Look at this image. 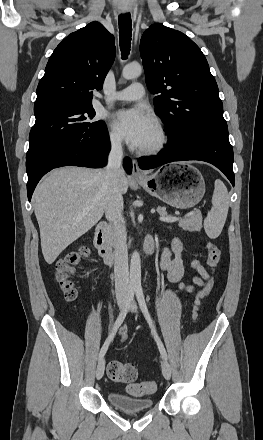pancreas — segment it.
I'll return each instance as SVG.
<instances>
[{"instance_id": "obj_1", "label": "pancreas", "mask_w": 263, "mask_h": 440, "mask_svg": "<svg viewBox=\"0 0 263 440\" xmlns=\"http://www.w3.org/2000/svg\"><path fill=\"white\" fill-rule=\"evenodd\" d=\"M157 211L160 215H167L162 207H158ZM178 226L189 232L200 231L202 228V214L199 211L187 214L183 219L179 220Z\"/></svg>"}]
</instances>
